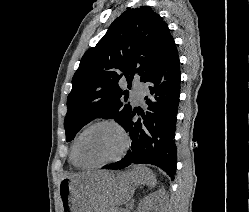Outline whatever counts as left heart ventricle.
Wrapping results in <instances>:
<instances>
[{
	"instance_id": "left-heart-ventricle-1",
	"label": "left heart ventricle",
	"mask_w": 249,
	"mask_h": 212,
	"mask_svg": "<svg viewBox=\"0 0 249 212\" xmlns=\"http://www.w3.org/2000/svg\"><path fill=\"white\" fill-rule=\"evenodd\" d=\"M122 140L118 132L102 126L87 132L78 144V157L84 164H97L118 154Z\"/></svg>"
}]
</instances>
